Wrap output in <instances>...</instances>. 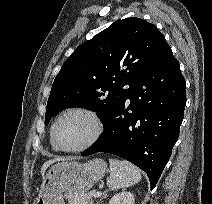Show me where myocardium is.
<instances>
[{"label":"myocardium","instance_id":"myocardium-1","mask_svg":"<svg viewBox=\"0 0 212 204\" xmlns=\"http://www.w3.org/2000/svg\"><path fill=\"white\" fill-rule=\"evenodd\" d=\"M70 114L82 115L86 117L92 125V132L90 137L82 145L78 147H74V148H66L61 146L56 137V127L58 123L61 121V119H63L65 116ZM103 129H104L103 122L100 116L98 115V113L88 108L74 107V108H69L62 111L57 116V118L55 119L51 127V139L58 150L63 152H68V153H78L94 145L97 142V140L100 138V136L102 135Z\"/></svg>","mask_w":212,"mask_h":204}]
</instances>
